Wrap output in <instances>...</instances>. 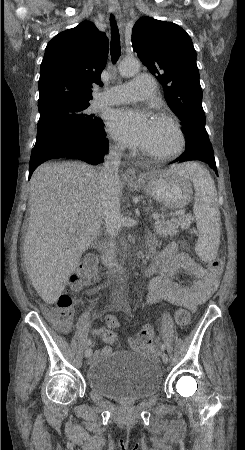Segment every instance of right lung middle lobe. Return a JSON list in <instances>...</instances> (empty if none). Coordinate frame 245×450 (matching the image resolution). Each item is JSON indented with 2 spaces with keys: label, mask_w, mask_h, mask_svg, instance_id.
Returning <instances> with one entry per match:
<instances>
[{
  "label": "right lung middle lobe",
  "mask_w": 245,
  "mask_h": 450,
  "mask_svg": "<svg viewBox=\"0 0 245 450\" xmlns=\"http://www.w3.org/2000/svg\"><path fill=\"white\" fill-rule=\"evenodd\" d=\"M90 104H54L40 111L35 152H40L59 144L95 139L102 120L91 114Z\"/></svg>",
  "instance_id": "obj_1"
}]
</instances>
